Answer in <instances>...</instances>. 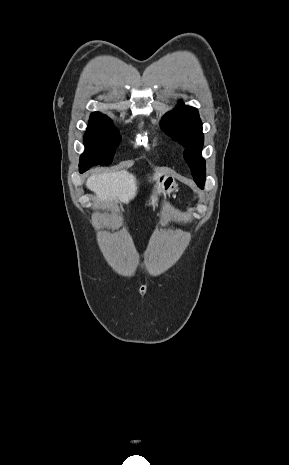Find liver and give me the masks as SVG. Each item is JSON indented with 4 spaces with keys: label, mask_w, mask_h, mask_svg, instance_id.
Segmentation results:
<instances>
[{
    "label": "liver",
    "mask_w": 289,
    "mask_h": 465,
    "mask_svg": "<svg viewBox=\"0 0 289 465\" xmlns=\"http://www.w3.org/2000/svg\"><path fill=\"white\" fill-rule=\"evenodd\" d=\"M159 175L156 172L153 180ZM86 186L96 194L99 202L110 206L116 205L118 201L129 202L136 196L138 189L136 177L125 170L91 175Z\"/></svg>",
    "instance_id": "liver-1"
}]
</instances>
